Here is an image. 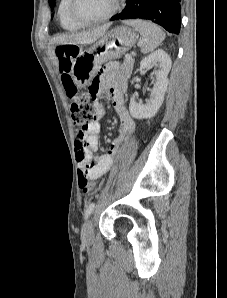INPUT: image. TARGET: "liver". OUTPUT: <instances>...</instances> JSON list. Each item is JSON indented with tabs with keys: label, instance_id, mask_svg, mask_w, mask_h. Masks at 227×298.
Masks as SVG:
<instances>
[{
	"label": "liver",
	"instance_id": "1",
	"mask_svg": "<svg viewBox=\"0 0 227 298\" xmlns=\"http://www.w3.org/2000/svg\"><path fill=\"white\" fill-rule=\"evenodd\" d=\"M109 24L101 26L97 29L80 32V33H66L54 37L50 44L55 47L57 45H86L92 44L102 37L109 28ZM54 55V52H53ZM54 62L58 65V59L56 56L53 57Z\"/></svg>",
	"mask_w": 227,
	"mask_h": 298
}]
</instances>
